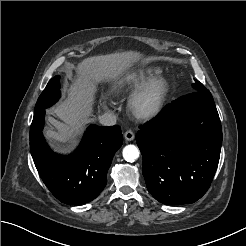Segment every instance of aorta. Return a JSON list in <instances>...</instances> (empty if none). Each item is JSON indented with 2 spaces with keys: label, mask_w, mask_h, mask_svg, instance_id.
I'll return each mask as SVG.
<instances>
[{
  "label": "aorta",
  "mask_w": 246,
  "mask_h": 246,
  "mask_svg": "<svg viewBox=\"0 0 246 246\" xmlns=\"http://www.w3.org/2000/svg\"><path fill=\"white\" fill-rule=\"evenodd\" d=\"M122 154L127 162H134L139 158L140 151L135 145H127L123 148Z\"/></svg>",
  "instance_id": "762f6f07"
}]
</instances>
